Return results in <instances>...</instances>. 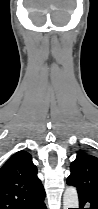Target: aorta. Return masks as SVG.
Instances as JSON below:
<instances>
[{
	"mask_svg": "<svg viewBox=\"0 0 98 209\" xmlns=\"http://www.w3.org/2000/svg\"><path fill=\"white\" fill-rule=\"evenodd\" d=\"M79 201H78V194L75 187H68L63 195V207L64 209L68 208H78Z\"/></svg>",
	"mask_w": 98,
	"mask_h": 209,
	"instance_id": "1",
	"label": "aorta"
}]
</instances>
